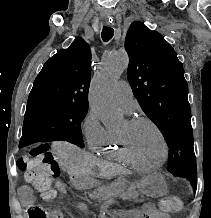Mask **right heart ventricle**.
I'll use <instances>...</instances> for the list:
<instances>
[{
    "mask_svg": "<svg viewBox=\"0 0 211 218\" xmlns=\"http://www.w3.org/2000/svg\"><path fill=\"white\" fill-rule=\"evenodd\" d=\"M95 150L97 151V154H101L108 159L131 164V161L121 148L117 134L113 131H107L105 138Z\"/></svg>",
    "mask_w": 211,
    "mask_h": 218,
    "instance_id": "right-heart-ventricle-1",
    "label": "right heart ventricle"
}]
</instances>
